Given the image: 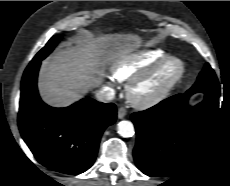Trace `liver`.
<instances>
[{
	"instance_id": "1",
	"label": "liver",
	"mask_w": 230,
	"mask_h": 186,
	"mask_svg": "<svg viewBox=\"0 0 230 186\" xmlns=\"http://www.w3.org/2000/svg\"><path fill=\"white\" fill-rule=\"evenodd\" d=\"M136 35H87L42 62L39 92L47 104L65 107L101 83L106 55L108 59L123 55L140 43ZM109 46L114 49L108 50Z\"/></svg>"
}]
</instances>
